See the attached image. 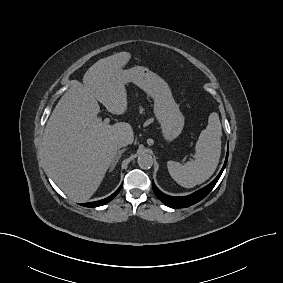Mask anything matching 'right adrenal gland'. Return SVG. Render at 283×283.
<instances>
[{"label":"right adrenal gland","instance_id":"2a0ac1e0","mask_svg":"<svg viewBox=\"0 0 283 283\" xmlns=\"http://www.w3.org/2000/svg\"><path fill=\"white\" fill-rule=\"evenodd\" d=\"M125 150H126V149H122V150H119V151L117 152V154H116L115 157L113 158L112 163H111V165H110V171H113V170H114V168L116 167V165H117V163H118L120 157L122 156V153H124Z\"/></svg>","mask_w":283,"mask_h":283}]
</instances>
